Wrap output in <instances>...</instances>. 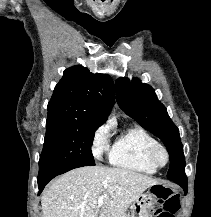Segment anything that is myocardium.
<instances>
[{"label": "myocardium", "mask_w": 211, "mask_h": 217, "mask_svg": "<svg viewBox=\"0 0 211 217\" xmlns=\"http://www.w3.org/2000/svg\"><path fill=\"white\" fill-rule=\"evenodd\" d=\"M158 154H162L164 156V161L162 163L158 160ZM148 160L156 169L163 168L169 163V151L164 145L157 142L149 149Z\"/></svg>", "instance_id": "obj_1"}]
</instances>
